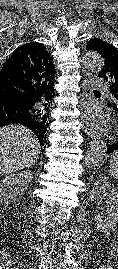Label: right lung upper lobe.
Instances as JSON below:
<instances>
[{"mask_svg":"<svg viewBox=\"0 0 118 269\" xmlns=\"http://www.w3.org/2000/svg\"><path fill=\"white\" fill-rule=\"evenodd\" d=\"M55 65L43 44L30 42L18 48L0 72V96L33 97L37 111L32 130L40 140L46 138L49 107L54 93Z\"/></svg>","mask_w":118,"mask_h":269,"instance_id":"obj_1","label":"right lung upper lobe"}]
</instances>
